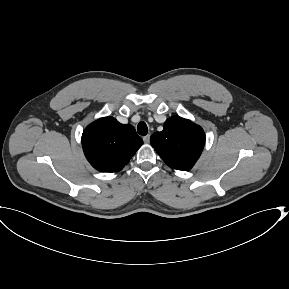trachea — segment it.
Returning <instances> with one entry per match:
<instances>
[{"label":"trachea","instance_id":"obj_1","mask_svg":"<svg viewBox=\"0 0 289 289\" xmlns=\"http://www.w3.org/2000/svg\"><path fill=\"white\" fill-rule=\"evenodd\" d=\"M137 131H138V134L139 135H146L148 133V127L146 125L145 122H140L138 125H137Z\"/></svg>","mask_w":289,"mask_h":289}]
</instances>
